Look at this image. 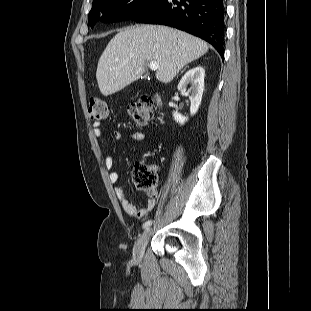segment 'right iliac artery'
<instances>
[{
    "mask_svg": "<svg viewBox=\"0 0 311 311\" xmlns=\"http://www.w3.org/2000/svg\"><path fill=\"white\" fill-rule=\"evenodd\" d=\"M151 224H152V221H151V220H148V221H146V222L143 224V228H144V229H147Z\"/></svg>",
    "mask_w": 311,
    "mask_h": 311,
    "instance_id": "82829eb1",
    "label": "right iliac artery"
}]
</instances>
